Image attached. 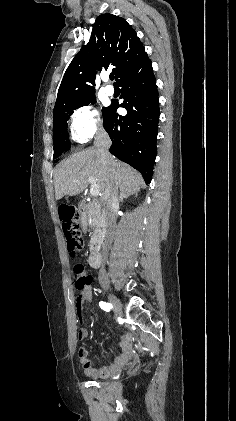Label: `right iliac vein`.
Instances as JSON below:
<instances>
[{
    "instance_id": "right-iliac-vein-1",
    "label": "right iliac vein",
    "mask_w": 236,
    "mask_h": 421,
    "mask_svg": "<svg viewBox=\"0 0 236 421\" xmlns=\"http://www.w3.org/2000/svg\"><path fill=\"white\" fill-rule=\"evenodd\" d=\"M107 295L110 303L114 308L115 313L120 316L122 313V306L120 301L109 291H107Z\"/></svg>"
}]
</instances>
